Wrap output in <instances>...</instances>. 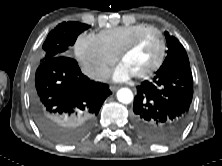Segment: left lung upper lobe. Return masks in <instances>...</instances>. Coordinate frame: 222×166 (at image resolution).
Here are the masks:
<instances>
[{"label":"left lung upper lobe","instance_id":"obj_1","mask_svg":"<svg viewBox=\"0 0 222 166\" xmlns=\"http://www.w3.org/2000/svg\"><path fill=\"white\" fill-rule=\"evenodd\" d=\"M165 37L168 46L167 57L158 71H163L176 66L189 67V59L182 44L178 39L170 36L168 32H165Z\"/></svg>","mask_w":222,"mask_h":166}]
</instances>
